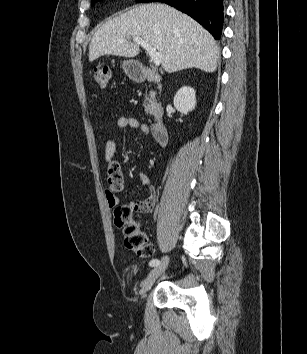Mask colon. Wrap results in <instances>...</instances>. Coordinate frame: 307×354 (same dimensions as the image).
Wrapping results in <instances>:
<instances>
[{
  "label": "colon",
  "instance_id": "1",
  "mask_svg": "<svg viewBox=\"0 0 307 354\" xmlns=\"http://www.w3.org/2000/svg\"><path fill=\"white\" fill-rule=\"evenodd\" d=\"M95 82L100 88L106 87L110 78V70L106 66L95 67ZM114 223L122 229L125 246L141 257H150L154 253L153 244L140 229L139 222L133 217V209L129 205H119L114 209Z\"/></svg>",
  "mask_w": 307,
  "mask_h": 354
}]
</instances>
